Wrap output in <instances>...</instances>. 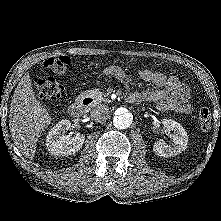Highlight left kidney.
I'll return each instance as SVG.
<instances>
[{
    "instance_id": "1",
    "label": "left kidney",
    "mask_w": 221,
    "mask_h": 221,
    "mask_svg": "<svg viewBox=\"0 0 221 221\" xmlns=\"http://www.w3.org/2000/svg\"><path fill=\"white\" fill-rule=\"evenodd\" d=\"M162 124L173 132V134L170 136L172 141L170 143H166L164 140L159 139L154 143V153L160 157L168 158L186 150L188 136L183 126L171 119H164Z\"/></svg>"
}]
</instances>
